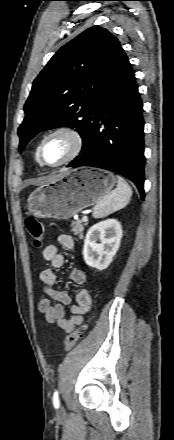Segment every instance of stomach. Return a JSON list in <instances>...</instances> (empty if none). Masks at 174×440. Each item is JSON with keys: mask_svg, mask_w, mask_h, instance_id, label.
<instances>
[{"mask_svg": "<svg viewBox=\"0 0 174 440\" xmlns=\"http://www.w3.org/2000/svg\"><path fill=\"white\" fill-rule=\"evenodd\" d=\"M115 183V176L105 170L80 167L67 171L29 195L28 213L40 218L69 219L110 193Z\"/></svg>", "mask_w": 174, "mask_h": 440, "instance_id": "0dacf381", "label": "stomach"}]
</instances>
